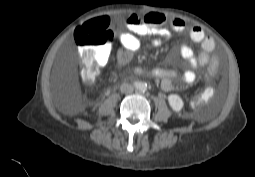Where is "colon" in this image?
<instances>
[{"mask_svg":"<svg viewBox=\"0 0 255 177\" xmlns=\"http://www.w3.org/2000/svg\"><path fill=\"white\" fill-rule=\"evenodd\" d=\"M83 31L75 32V41L80 48L82 58V76L87 82H92L100 68L96 52L111 46L113 33L105 18L91 20L81 26ZM218 68V67H217ZM217 68L210 70L213 75Z\"/></svg>","mask_w":255,"mask_h":177,"instance_id":"1","label":"colon"}]
</instances>
